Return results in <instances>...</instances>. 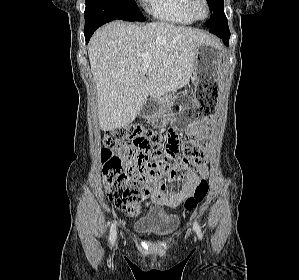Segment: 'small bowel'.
Returning a JSON list of instances; mask_svg holds the SVG:
<instances>
[{
	"mask_svg": "<svg viewBox=\"0 0 299 280\" xmlns=\"http://www.w3.org/2000/svg\"><path fill=\"white\" fill-rule=\"evenodd\" d=\"M203 134L202 129L197 126L189 130V135L201 137ZM130 146L123 145L119 147L116 152L122 157L129 156ZM163 172L158 167L147 168L143 174L142 184L146 188L152 203L165 206L168 208H175L179 206L185 199L190 197L197 184L202 178L208 175V166L202 159L196 164L195 168L187 172L183 177L175 179L170 183L171 193H166V184L162 179ZM181 183V185H179Z\"/></svg>",
	"mask_w": 299,
	"mask_h": 280,
	"instance_id": "obj_1",
	"label": "small bowel"
}]
</instances>
